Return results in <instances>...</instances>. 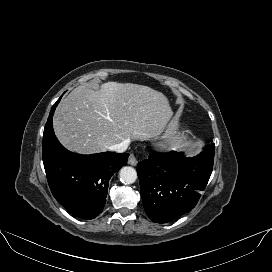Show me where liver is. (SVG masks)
<instances>
[{
  "mask_svg": "<svg viewBox=\"0 0 272 272\" xmlns=\"http://www.w3.org/2000/svg\"><path fill=\"white\" fill-rule=\"evenodd\" d=\"M172 115L163 93L144 85L107 82L97 91L83 85L72 90L58 105L53 126L65 148L92 154L122 141L157 137Z\"/></svg>",
  "mask_w": 272,
  "mask_h": 272,
  "instance_id": "1",
  "label": "liver"
}]
</instances>
